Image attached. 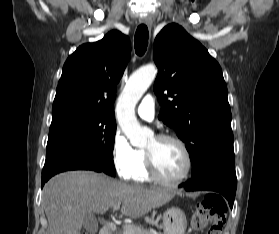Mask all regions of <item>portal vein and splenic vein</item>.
<instances>
[{"mask_svg":"<svg viewBox=\"0 0 279 234\" xmlns=\"http://www.w3.org/2000/svg\"><path fill=\"white\" fill-rule=\"evenodd\" d=\"M120 208V203L113 205V210H118ZM123 229H125L128 233L130 231L128 225H123Z\"/></svg>","mask_w":279,"mask_h":234,"instance_id":"1","label":"portal vein and splenic vein"}]
</instances>
